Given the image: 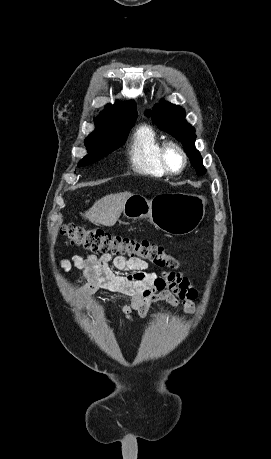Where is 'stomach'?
<instances>
[{
  "label": "stomach",
  "mask_w": 271,
  "mask_h": 459,
  "mask_svg": "<svg viewBox=\"0 0 271 459\" xmlns=\"http://www.w3.org/2000/svg\"><path fill=\"white\" fill-rule=\"evenodd\" d=\"M205 206L204 196L158 194L152 200L131 196L124 204L123 214L129 220L148 218L155 228L171 235H185L201 224Z\"/></svg>",
  "instance_id": "0dacf381"
}]
</instances>
